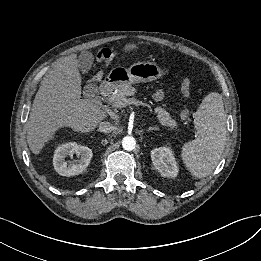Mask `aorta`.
Segmentation results:
<instances>
[{"label": "aorta", "instance_id": "obj_1", "mask_svg": "<svg viewBox=\"0 0 261 261\" xmlns=\"http://www.w3.org/2000/svg\"><path fill=\"white\" fill-rule=\"evenodd\" d=\"M122 146L126 151H132L135 149L136 140L132 136H125L122 139Z\"/></svg>", "mask_w": 261, "mask_h": 261}]
</instances>
